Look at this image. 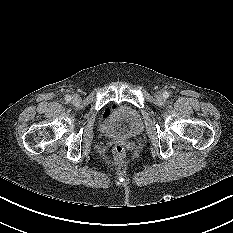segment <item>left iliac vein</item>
<instances>
[{"mask_svg": "<svg viewBox=\"0 0 233 233\" xmlns=\"http://www.w3.org/2000/svg\"><path fill=\"white\" fill-rule=\"evenodd\" d=\"M155 97L158 99V100H163V93L162 92H157L155 94Z\"/></svg>", "mask_w": 233, "mask_h": 233, "instance_id": "left-iliac-vein-1", "label": "left iliac vein"}]
</instances>
